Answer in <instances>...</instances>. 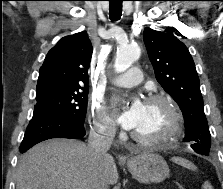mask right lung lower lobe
<instances>
[{"mask_svg":"<svg viewBox=\"0 0 223 189\" xmlns=\"http://www.w3.org/2000/svg\"><path fill=\"white\" fill-rule=\"evenodd\" d=\"M85 134L84 124L73 122L65 116L34 111L19 149L24 153L35 144L47 139H78Z\"/></svg>","mask_w":223,"mask_h":189,"instance_id":"98d812e1","label":"right lung lower lobe"}]
</instances>
